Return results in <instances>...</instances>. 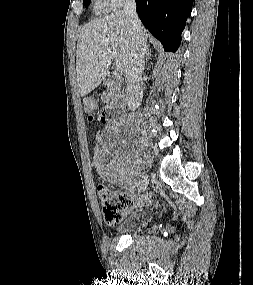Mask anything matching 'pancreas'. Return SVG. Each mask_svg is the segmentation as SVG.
Wrapping results in <instances>:
<instances>
[{
  "label": "pancreas",
  "instance_id": "pancreas-1",
  "mask_svg": "<svg viewBox=\"0 0 253 285\" xmlns=\"http://www.w3.org/2000/svg\"><path fill=\"white\" fill-rule=\"evenodd\" d=\"M108 96L111 99V103H117V101L124 97L123 90H121V87L116 82H111Z\"/></svg>",
  "mask_w": 253,
  "mask_h": 285
}]
</instances>
